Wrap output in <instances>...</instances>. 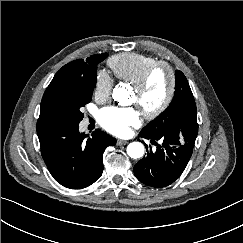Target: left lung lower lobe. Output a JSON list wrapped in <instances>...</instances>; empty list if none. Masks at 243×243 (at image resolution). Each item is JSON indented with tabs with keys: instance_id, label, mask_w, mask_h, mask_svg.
I'll return each mask as SVG.
<instances>
[{
	"instance_id": "obj_1",
	"label": "left lung lower lobe",
	"mask_w": 243,
	"mask_h": 243,
	"mask_svg": "<svg viewBox=\"0 0 243 243\" xmlns=\"http://www.w3.org/2000/svg\"><path fill=\"white\" fill-rule=\"evenodd\" d=\"M140 136L150 139L156 149L147 148V156L134 166L136 178L145 185L162 188L180 177L192 155L193 139L185 134L182 138L173 132L151 136L140 132ZM156 141H159L157 143Z\"/></svg>"
}]
</instances>
